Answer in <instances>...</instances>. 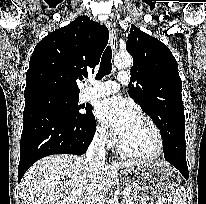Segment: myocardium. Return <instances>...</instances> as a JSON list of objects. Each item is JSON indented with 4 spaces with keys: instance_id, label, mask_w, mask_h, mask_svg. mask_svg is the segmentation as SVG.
<instances>
[{
    "instance_id": "f54148a6",
    "label": "myocardium",
    "mask_w": 206,
    "mask_h": 204,
    "mask_svg": "<svg viewBox=\"0 0 206 204\" xmlns=\"http://www.w3.org/2000/svg\"><path fill=\"white\" fill-rule=\"evenodd\" d=\"M136 117L144 120L153 130L156 139H157V150L150 155H140L130 152L126 147L124 146L122 140L119 141V150L120 152L131 159L140 160V161H154L160 158L164 152H165V140L163 137V134L159 128V126L156 124V122L148 115L144 113H137Z\"/></svg>"
}]
</instances>
